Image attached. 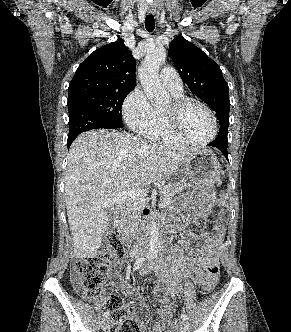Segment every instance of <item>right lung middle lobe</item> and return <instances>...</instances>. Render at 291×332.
<instances>
[{
    "mask_svg": "<svg viewBox=\"0 0 291 332\" xmlns=\"http://www.w3.org/2000/svg\"><path fill=\"white\" fill-rule=\"evenodd\" d=\"M131 91L110 90L68 98L69 114H72L76 108L85 107L101 115L111 125V128H122L121 108L125 97Z\"/></svg>",
    "mask_w": 291,
    "mask_h": 332,
    "instance_id": "dd1d6c3e",
    "label": "right lung middle lobe"
}]
</instances>
